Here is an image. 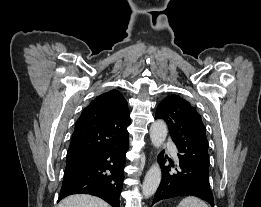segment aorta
I'll list each match as a JSON object with an SVG mask.
<instances>
[{"mask_svg":"<svg viewBox=\"0 0 261 207\" xmlns=\"http://www.w3.org/2000/svg\"><path fill=\"white\" fill-rule=\"evenodd\" d=\"M167 125L164 121L158 120L155 121L150 127V138L152 144L159 148L167 137ZM161 182V169L159 165L156 163L151 166V168L146 173L144 178L143 186H142V194L145 198H149L152 196L159 184Z\"/></svg>","mask_w":261,"mask_h":207,"instance_id":"aorta-1","label":"aorta"}]
</instances>
